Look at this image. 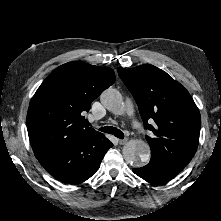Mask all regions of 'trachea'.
Wrapping results in <instances>:
<instances>
[{
  "label": "trachea",
  "mask_w": 221,
  "mask_h": 221,
  "mask_svg": "<svg viewBox=\"0 0 221 221\" xmlns=\"http://www.w3.org/2000/svg\"><path fill=\"white\" fill-rule=\"evenodd\" d=\"M99 130L108 134H113L114 136L120 139L124 138L123 132L112 126H105V127L100 128Z\"/></svg>",
  "instance_id": "1"
}]
</instances>
